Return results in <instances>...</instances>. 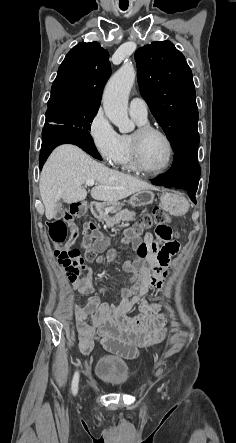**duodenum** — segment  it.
Wrapping results in <instances>:
<instances>
[{
	"instance_id": "duodenum-1",
	"label": "duodenum",
	"mask_w": 236,
	"mask_h": 443,
	"mask_svg": "<svg viewBox=\"0 0 236 443\" xmlns=\"http://www.w3.org/2000/svg\"><path fill=\"white\" fill-rule=\"evenodd\" d=\"M91 212L94 217H100L103 215V207L101 205L92 204Z\"/></svg>"
}]
</instances>
